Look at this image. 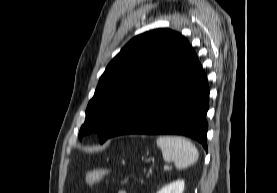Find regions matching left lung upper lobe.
Wrapping results in <instances>:
<instances>
[{
    "instance_id": "left-lung-upper-lobe-1",
    "label": "left lung upper lobe",
    "mask_w": 277,
    "mask_h": 193,
    "mask_svg": "<svg viewBox=\"0 0 277 193\" xmlns=\"http://www.w3.org/2000/svg\"><path fill=\"white\" fill-rule=\"evenodd\" d=\"M193 52L186 38L168 29L133 38L99 79L79 138L96 131L103 143L129 111L172 76Z\"/></svg>"
}]
</instances>
